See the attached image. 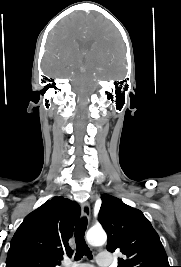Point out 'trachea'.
I'll list each match as a JSON object with an SVG mask.
<instances>
[{"instance_id":"obj_1","label":"trachea","mask_w":181,"mask_h":267,"mask_svg":"<svg viewBox=\"0 0 181 267\" xmlns=\"http://www.w3.org/2000/svg\"><path fill=\"white\" fill-rule=\"evenodd\" d=\"M87 229V218L83 217L79 220V222L75 226V242H76V255L75 259L80 260L83 255L87 256L88 258H92V253L88 248L84 235Z\"/></svg>"}]
</instances>
